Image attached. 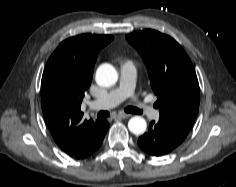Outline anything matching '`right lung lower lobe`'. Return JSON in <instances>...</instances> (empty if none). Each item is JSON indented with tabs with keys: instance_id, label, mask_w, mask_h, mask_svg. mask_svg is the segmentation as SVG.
Instances as JSON below:
<instances>
[{
	"instance_id": "1",
	"label": "right lung lower lobe",
	"mask_w": 236,
	"mask_h": 187,
	"mask_svg": "<svg viewBox=\"0 0 236 187\" xmlns=\"http://www.w3.org/2000/svg\"><path fill=\"white\" fill-rule=\"evenodd\" d=\"M108 128H109V123L106 120H103L102 134L92 153H94L100 147Z\"/></svg>"
}]
</instances>
